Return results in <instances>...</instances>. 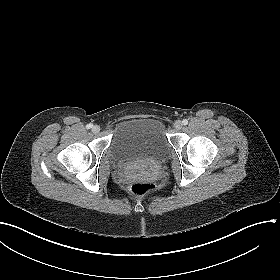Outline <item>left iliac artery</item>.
<instances>
[{
    "label": "left iliac artery",
    "instance_id": "44dca946",
    "mask_svg": "<svg viewBox=\"0 0 280 280\" xmlns=\"http://www.w3.org/2000/svg\"><path fill=\"white\" fill-rule=\"evenodd\" d=\"M182 123H183L184 125H187V124H188V120H187V119H184V120L182 121Z\"/></svg>",
    "mask_w": 280,
    "mask_h": 280
}]
</instances>
